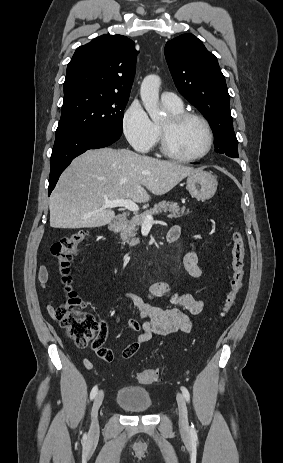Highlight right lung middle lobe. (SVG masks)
<instances>
[{
  "mask_svg": "<svg viewBox=\"0 0 283 463\" xmlns=\"http://www.w3.org/2000/svg\"><path fill=\"white\" fill-rule=\"evenodd\" d=\"M128 98L79 92L64 100L56 137L81 130H101L121 135Z\"/></svg>",
  "mask_w": 283,
  "mask_h": 463,
  "instance_id": "1",
  "label": "right lung middle lobe"
}]
</instances>
